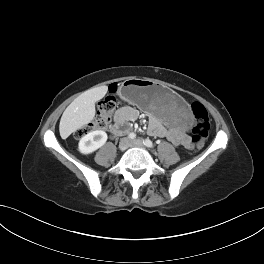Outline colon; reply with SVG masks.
I'll list each match as a JSON object with an SVG mask.
<instances>
[{
    "label": "colon",
    "instance_id": "obj_1",
    "mask_svg": "<svg viewBox=\"0 0 264 264\" xmlns=\"http://www.w3.org/2000/svg\"><path fill=\"white\" fill-rule=\"evenodd\" d=\"M115 91V86H111L109 89V95L98 104L94 119L87 126L81 128L77 132L78 136H83L91 130L104 129L108 126L117 105L114 96ZM191 110L195 119V125L192 132V142L196 148H201L205 143L210 129L208 113L206 108L200 102H194L191 106Z\"/></svg>",
    "mask_w": 264,
    "mask_h": 264
}]
</instances>
